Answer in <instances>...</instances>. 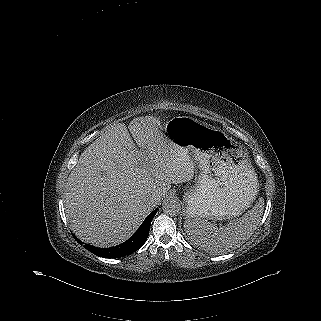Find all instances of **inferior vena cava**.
<instances>
[{"label": "inferior vena cava", "mask_w": 321, "mask_h": 321, "mask_svg": "<svg viewBox=\"0 0 321 321\" xmlns=\"http://www.w3.org/2000/svg\"><path fill=\"white\" fill-rule=\"evenodd\" d=\"M154 202V199L152 197H150L148 200H147V203L150 205V204H153Z\"/></svg>", "instance_id": "602c4592"}]
</instances>
